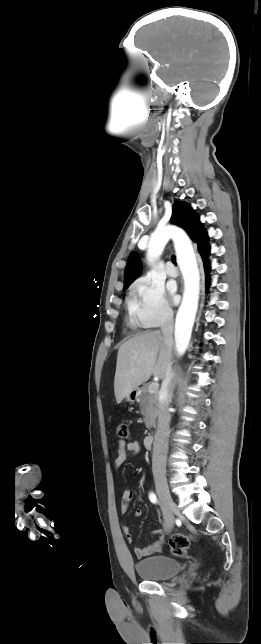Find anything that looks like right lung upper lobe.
I'll return each mask as SVG.
<instances>
[{
  "instance_id": "1",
  "label": "right lung upper lobe",
  "mask_w": 261,
  "mask_h": 644,
  "mask_svg": "<svg viewBox=\"0 0 261 644\" xmlns=\"http://www.w3.org/2000/svg\"><path fill=\"white\" fill-rule=\"evenodd\" d=\"M171 223L176 224L186 230L190 238L197 243L198 251L201 257L209 255V246L207 244L208 236L199 221V217L194 213L189 204L183 201H177L172 207ZM141 271V262L136 253L132 252L128 258L125 274L124 288L138 277ZM123 288V289H124Z\"/></svg>"
}]
</instances>
